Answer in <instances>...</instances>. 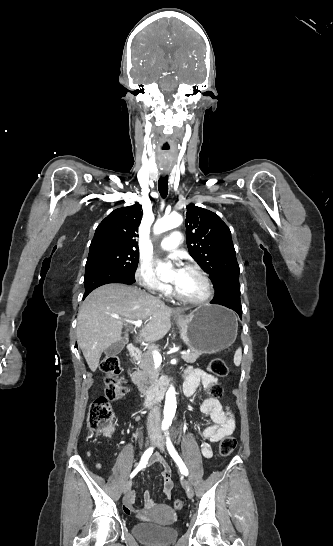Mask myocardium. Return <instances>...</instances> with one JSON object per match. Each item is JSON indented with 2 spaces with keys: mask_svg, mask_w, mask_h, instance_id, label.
<instances>
[{
  "mask_svg": "<svg viewBox=\"0 0 333 546\" xmlns=\"http://www.w3.org/2000/svg\"><path fill=\"white\" fill-rule=\"evenodd\" d=\"M186 270L194 271L202 278L206 286V294L200 298H189V297L183 296L181 293L178 292L177 289H174L173 291L174 296L177 299L189 304L199 305V304H204L208 302L213 297L214 287L207 273L200 266L195 264L187 265Z\"/></svg>",
  "mask_w": 333,
  "mask_h": 546,
  "instance_id": "myocardium-1",
  "label": "myocardium"
}]
</instances>
